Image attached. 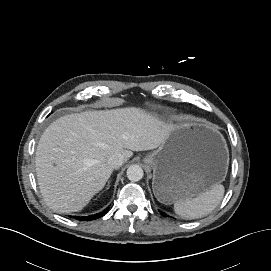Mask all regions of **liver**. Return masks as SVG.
Masks as SVG:
<instances>
[{"label":"liver","instance_id":"liver-1","mask_svg":"<svg viewBox=\"0 0 271 271\" xmlns=\"http://www.w3.org/2000/svg\"><path fill=\"white\" fill-rule=\"evenodd\" d=\"M137 108L70 114L53 122L36 150V174L46 204L58 213L82 210L99 193L113 168L108 159L158 148L172 130Z\"/></svg>","mask_w":271,"mask_h":271}]
</instances>
